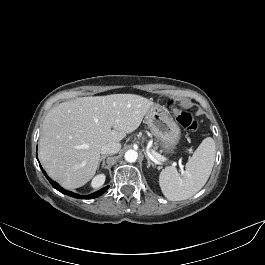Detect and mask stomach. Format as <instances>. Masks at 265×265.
<instances>
[{
  "label": "stomach",
  "instance_id": "obj_1",
  "mask_svg": "<svg viewBox=\"0 0 265 265\" xmlns=\"http://www.w3.org/2000/svg\"><path fill=\"white\" fill-rule=\"evenodd\" d=\"M145 122L152 134L161 141L162 148L172 153L180 139V128L168 111L154 104L145 115Z\"/></svg>",
  "mask_w": 265,
  "mask_h": 265
}]
</instances>
